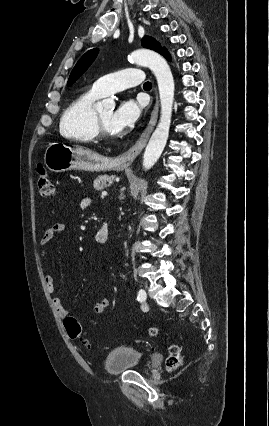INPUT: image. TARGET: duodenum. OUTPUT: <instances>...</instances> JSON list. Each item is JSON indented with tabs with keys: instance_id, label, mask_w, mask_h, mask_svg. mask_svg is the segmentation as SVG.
<instances>
[{
	"instance_id": "410a0bca",
	"label": "duodenum",
	"mask_w": 269,
	"mask_h": 426,
	"mask_svg": "<svg viewBox=\"0 0 269 426\" xmlns=\"http://www.w3.org/2000/svg\"><path fill=\"white\" fill-rule=\"evenodd\" d=\"M110 237V226L107 222H104L97 232L95 238L96 241L100 244H104L109 240Z\"/></svg>"
}]
</instances>
